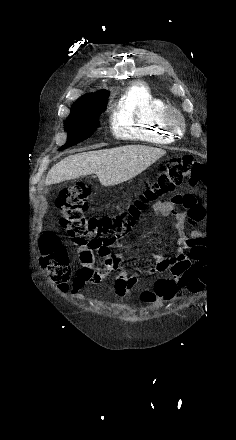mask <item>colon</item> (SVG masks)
<instances>
[{
  "label": "colon",
  "mask_w": 236,
  "mask_h": 440,
  "mask_svg": "<svg viewBox=\"0 0 236 440\" xmlns=\"http://www.w3.org/2000/svg\"><path fill=\"white\" fill-rule=\"evenodd\" d=\"M204 178L202 164L194 157H174L160 168L157 177L137 198L126 204L125 209L114 216L102 217L86 214L91 195L90 185H73L64 189L56 200V206L62 214L60 225L76 244L92 249L109 248L131 231L147 204L181 185L196 186ZM41 243V265L48 276L54 281L66 280L70 269L63 256L59 236L53 232H46L42 235ZM188 288L192 293L200 292L203 281L194 280ZM176 290L172 280H159L154 293L169 300L176 294ZM151 294V291H146L143 297L148 299Z\"/></svg>",
  "instance_id": "1"
}]
</instances>
